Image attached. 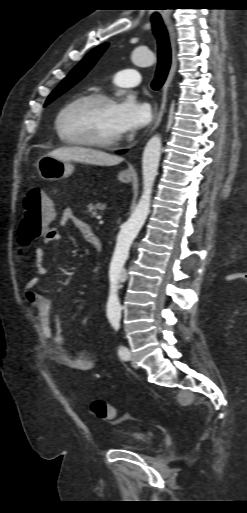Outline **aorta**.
Here are the masks:
<instances>
[{"instance_id": "aorta-1", "label": "aorta", "mask_w": 247, "mask_h": 513, "mask_svg": "<svg viewBox=\"0 0 247 513\" xmlns=\"http://www.w3.org/2000/svg\"><path fill=\"white\" fill-rule=\"evenodd\" d=\"M132 61L137 66H151L155 61L154 54L149 50L135 49L132 53ZM161 156V137L152 136L143 151L142 175L143 192L141 198L129 220L124 224L118 234L116 247L112 256L109 278L110 298L108 302V317L111 321L118 322L121 318V305L118 298L119 283L122 280L124 264L128 258L130 247L142 228L150 212L151 194Z\"/></svg>"}]
</instances>
